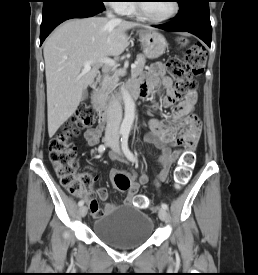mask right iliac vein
<instances>
[{"instance_id":"right-iliac-vein-1","label":"right iliac vein","mask_w":258,"mask_h":275,"mask_svg":"<svg viewBox=\"0 0 258 275\" xmlns=\"http://www.w3.org/2000/svg\"><path fill=\"white\" fill-rule=\"evenodd\" d=\"M112 142H113V141H112V139H110V138L106 140V144H107V145H111ZM87 211H88V209H87L86 206L80 207V209H79V214H80V216H81V217H85L86 214H87Z\"/></svg>"}]
</instances>
